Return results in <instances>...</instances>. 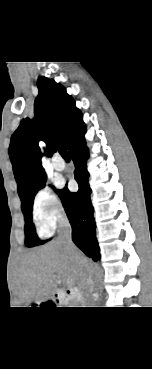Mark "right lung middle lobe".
Here are the masks:
<instances>
[{
  "mask_svg": "<svg viewBox=\"0 0 152 369\" xmlns=\"http://www.w3.org/2000/svg\"><path fill=\"white\" fill-rule=\"evenodd\" d=\"M46 182V177L35 184L32 188H30L24 198L21 200V209L25 217V245L27 247H34L39 244H43L46 241H40L39 238L36 235V230L34 228V225L32 223V206H33V200L34 196L37 193V191L44 187ZM58 193L59 190H56Z\"/></svg>",
  "mask_w": 152,
  "mask_h": 369,
  "instance_id": "obj_1",
  "label": "right lung middle lobe"
}]
</instances>
